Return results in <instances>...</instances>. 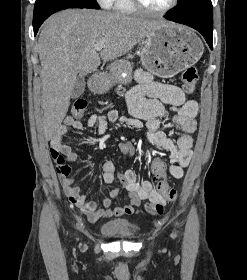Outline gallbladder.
<instances>
[{
  "label": "gallbladder",
  "mask_w": 247,
  "mask_h": 280,
  "mask_svg": "<svg viewBox=\"0 0 247 280\" xmlns=\"http://www.w3.org/2000/svg\"><path fill=\"white\" fill-rule=\"evenodd\" d=\"M84 90H85V79L84 76L79 75L72 89L71 97L73 99L80 97L83 94Z\"/></svg>",
  "instance_id": "bac80fb5"
}]
</instances>
